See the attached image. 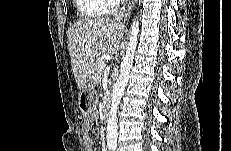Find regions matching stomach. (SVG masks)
Listing matches in <instances>:
<instances>
[{
  "label": "stomach",
  "mask_w": 231,
  "mask_h": 151,
  "mask_svg": "<svg viewBox=\"0 0 231 151\" xmlns=\"http://www.w3.org/2000/svg\"><path fill=\"white\" fill-rule=\"evenodd\" d=\"M98 94L93 85H86L79 93L78 104L83 114H91L97 105Z\"/></svg>",
  "instance_id": "obj_1"
}]
</instances>
